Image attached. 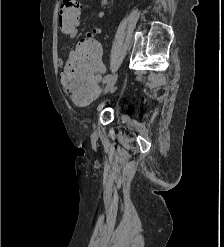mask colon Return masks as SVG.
<instances>
[{"mask_svg": "<svg viewBox=\"0 0 224 247\" xmlns=\"http://www.w3.org/2000/svg\"><path fill=\"white\" fill-rule=\"evenodd\" d=\"M80 5L78 0H63L58 13L60 30L69 35L78 27ZM83 58V59H81ZM105 67L101 61V49L94 40L82 41L61 73L63 85L80 105L89 104L95 96Z\"/></svg>", "mask_w": 224, "mask_h": 247, "instance_id": "5ec220e1", "label": "colon"}]
</instances>
